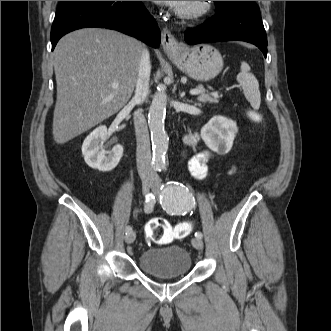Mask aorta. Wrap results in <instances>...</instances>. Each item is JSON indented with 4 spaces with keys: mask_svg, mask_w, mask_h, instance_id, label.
I'll return each instance as SVG.
<instances>
[{
    "mask_svg": "<svg viewBox=\"0 0 331 331\" xmlns=\"http://www.w3.org/2000/svg\"><path fill=\"white\" fill-rule=\"evenodd\" d=\"M167 94L161 87L154 95L149 108L148 125L151 132L153 165L155 169L165 167V156L168 150L169 137L165 131Z\"/></svg>",
    "mask_w": 331,
    "mask_h": 331,
    "instance_id": "obj_1",
    "label": "aorta"
}]
</instances>
